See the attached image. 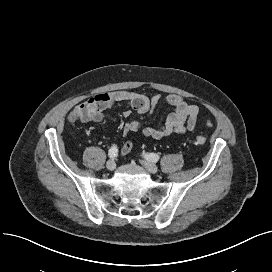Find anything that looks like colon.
<instances>
[{"mask_svg": "<svg viewBox=\"0 0 272 272\" xmlns=\"http://www.w3.org/2000/svg\"><path fill=\"white\" fill-rule=\"evenodd\" d=\"M195 143L197 145H204L206 143V138L204 136H197L195 138Z\"/></svg>", "mask_w": 272, "mask_h": 272, "instance_id": "1", "label": "colon"}]
</instances>
